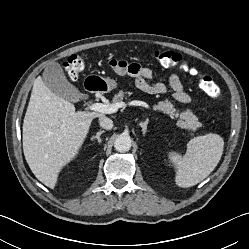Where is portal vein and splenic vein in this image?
Wrapping results in <instances>:
<instances>
[{
	"mask_svg": "<svg viewBox=\"0 0 249 249\" xmlns=\"http://www.w3.org/2000/svg\"><path fill=\"white\" fill-rule=\"evenodd\" d=\"M127 105L150 108V106L146 102L133 100L128 103L125 102H119L115 104L94 103L90 106V109L101 113L111 114L117 112L119 108L126 107Z\"/></svg>",
	"mask_w": 249,
	"mask_h": 249,
	"instance_id": "obj_1",
	"label": "portal vein and splenic vein"
}]
</instances>
